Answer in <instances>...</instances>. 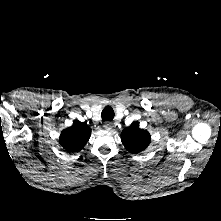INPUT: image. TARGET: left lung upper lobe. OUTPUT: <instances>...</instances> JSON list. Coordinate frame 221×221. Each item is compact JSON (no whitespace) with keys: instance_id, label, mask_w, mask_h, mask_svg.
<instances>
[{"instance_id":"left-lung-upper-lobe-1","label":"left lung upper lobe","mask_w":221,"mask_h":221,"mask_svg":"<svg viewBox=\"0 0 221 221\" xmlns=\"http://www.w3.org/2000/svg\"><path fill=\"white\" fill-rule=\"evenodd\" d=\"M121 139L129 152L139 153L148 147L151 136L148 131L139 128L138 124L133 123L122 131Z\"/></svg>"}]
</instances>
